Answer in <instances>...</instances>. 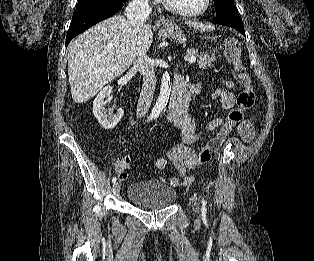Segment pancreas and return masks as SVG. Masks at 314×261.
<instances>
[{
    "instance_id": "cf45deb5",
    "label": "pancreas",
    "mask_w": 314,
    "mask_h": 261,
    "mask_svg": "<svg viewBox=\"0 0 314 261\" xmlns=\"http://www.w3.org/2000/svg\"><path fill=\"white\" fill-rule=\"evenodd\" d=\"M187 57L190 56H197V66L200 69L206 70L209 67H211L212 63L215 62V53H212L211 55H208L206 53H198L195 49H187L186 53Z\"/></svg>"
}]
</instances>
